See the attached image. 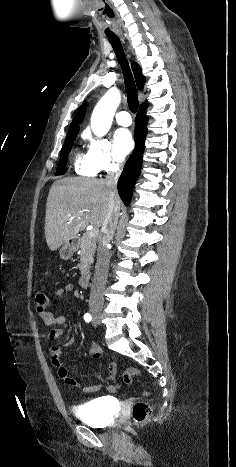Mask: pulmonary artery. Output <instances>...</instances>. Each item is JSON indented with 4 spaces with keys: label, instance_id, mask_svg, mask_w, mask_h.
I'll return each instance as SVG.
<instances>
[{
    "label": "pulmonary artery",
    "instance_id": "1",
    "mask_svg": "<svg viewBox=\"0 0 236 467\" xmlns=\"http://www.w3.org/2000/svg\"><path fill=\"white\" fill-rule=\"evenodd\" d=\"M116 121L121 126H130L132 119L127 111H120L116 115Z\"/></svg>",
    "mask_w": 236,
    "mask_h": 467
}]
</instances>
